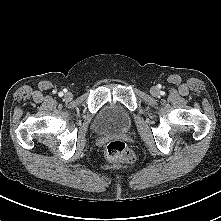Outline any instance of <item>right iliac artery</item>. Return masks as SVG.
<instances>
[{"instance_id": "right-iliac-artery-1", "label": "right iliac artery", "mask_w": 221, "mask_h": 221, "mask_svg": "<svg viewBox=\"0 0 221 221\" xmlns=\"http://www.w3.org/2000/svg\"><path fill=\"white\" fill-rule=\"evenodd\" d=\"M59 95H60V96H63V93L61 92V93H59Z\"/></svg>"}]
</instances>
